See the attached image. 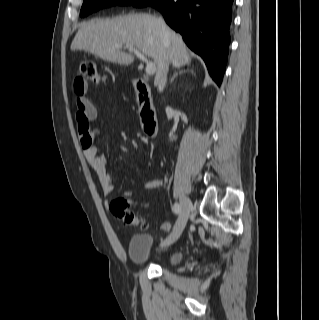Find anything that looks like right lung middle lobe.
<instances>
[{
	"mask_svg": "<svg viewBox=\"0 0 319 320\" xmlns=\"http://www.w3.org/2000/svg\"><path fill=\"white\" fill-rule=\"evenodd\" d=\"M153 0H84L80 16H87L99 9L106 8L112 5H133L135 7H144L151 3Z\"/></svg>",
	"mask_w": 319,
	"mask_h": 320,
	"instance_id": "1",
	"label": "right lung middle lobe"
}]
</instances>
